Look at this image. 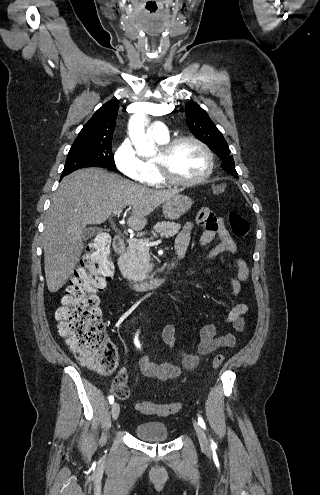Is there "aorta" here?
<instances>
[{"label":"aorta","mask_w":320,"mask_h":495,"mask_svg":"<svg viewBox=\"0 0 320 495\" xmlns=\"http://www.w3.org/2000/svg\"><path fill=\"white\" fill-rule=\"evenodd\" d=\"M158 107L146 104L138 113L133 114L128 122L129 137L140 156H154L157 153L155 145L148 140L145 128L149 122V115L155 113Z\"/></svg>","instance_id":"obj_1"}]
</instances>
